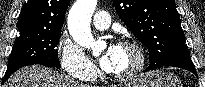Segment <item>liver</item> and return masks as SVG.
Listing matches in <instances>:
<instances>
[{"label":"liver","mask_w":205,"mask_h":87,"mask_svg":"<svg viewBox=\"0 0 205 87\" xmlns=\"http://www.w3.org/2000/svg\"><path fill=\"white\" fill-rule=\"evenodd\" d=\"M3 87H90L60 75L47 67L33 65L21 68Z\"/></svg>","instance_id":"6515ba94"}]
</instances>
